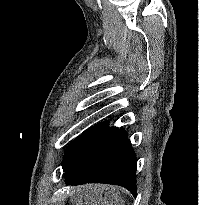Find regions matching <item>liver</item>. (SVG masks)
<instances>
[{
  "instance_id": "1",
  "label": "liver",
  "mask_w": 199,
  "mask_h": 205,
  "mask_svg": "<svg viewBox=\"0 0 199 205\" xmlns=\"http://www.w3.org/2000/svg\"><path fill=\"white\" fill-rule=\"evenodd\" d=\"M114 190L115 189L112 188L110 192L114 195L116 201L119 202L118 196H117V194H115ZM92 196H93V193H91V195H88V198H90V200H91V205H97V203H99V202L97 200L93 199Z\"/></svg>"
}]
</instances>
